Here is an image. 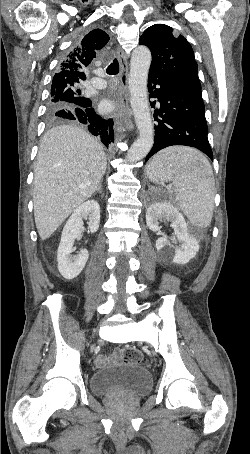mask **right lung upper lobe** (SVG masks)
<instances>
[{
    "label": "right lung upper lobe",
    "instance_id": "1",
    "mask_svg": "<svg viewBox=\"0 0 250 454\" xmlns=\"http://www.w3.org/2000/svg\"><path fill=\"white\" fill-rule=\"evenodd\" d=\"M109 41V36L101 29L88 33L79 44L69 51L59 66V72L52 85L78 84L86 79L84 69L96 57V52Z\"/></svg>",
    "mask_w": 250,
    "mask_h": 454
}]
</instances>
